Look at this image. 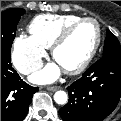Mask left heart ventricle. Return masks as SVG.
Wrapping results in <instances>:
<instances>
[{
	"instance_id": "left-heart-ventricle-1",
	"label": "left heart ventricle",
	"mask_w": 121,
	"mask_h": 121,
	"mask_svg": "<svg viewBox=\"0 0 121 121\" xmlns=\"http://www.w3.org/2000/svg\"><path fill=\"white\" fill-rule=\"evenodd\" d=\"M97 37L96 27L92 22L79 25L58 48L56 63L63 69H70L79 65L93 47Z\"/></svg>"
}]
</instances>
